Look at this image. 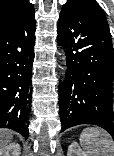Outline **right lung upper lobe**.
<instances>
[{"label": "right lung upper lobe", "mask_w": 114, "mask_h": 156, "mask_svg": "<svg viewBox=\"0 0 114 156\" xmlns=\"http://www.w3.org/2000/svg\"><path fill=\"white\" fill-rule=\"evenodd\" d=\"M27 0H0V27L33 11Z\"/></svg>", "instance_id": "1"}]
</instances>
